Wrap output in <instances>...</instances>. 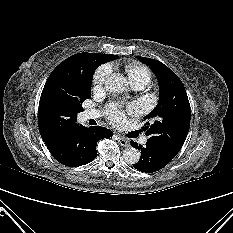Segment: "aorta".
Listing matches in <instances>:
<instances>
[{
  "mask_svg": "<svg viewBox=\"0 0 233 233\" xmlns=\"http://www.w3.org/2000/svg\"><path fill=\"white\" fill-rule=\"evenodd\" d=\"M128 82L120 73H114L105 82V87L109 92L122 93L126 91ZM123 158L128 164H136L140 159V152L136 148L129 147L124 150Z\"/></svg>",
  "mask_w": 233,
  "mask_h": 233,
  "instance_id": "obj_1",
  "label": "aorta"
}]
</instances>
